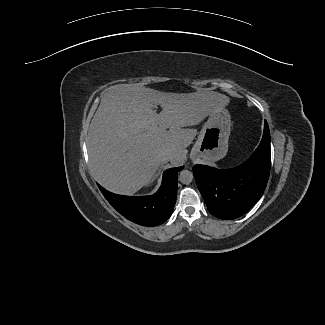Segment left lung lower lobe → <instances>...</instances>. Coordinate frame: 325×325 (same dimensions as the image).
I'll use <instances>...</instances> for the list:
<instances>
[{"label": "left lung lower lobe", "instance_id": "1", "mask_svg": "<svg viewBox=\"0 0 325 325\" xmlns=\"http://www.w3.org/2000/svg\"><path fill=\"white\" fill-rule=\"evenodd\" d=\"M270 131L265 121L262 140L251 157L232 169L194 165L197 187L210 213L232 220L247 212L262 196L270 174Z\"/></svg>", "mask_w": 325, "mask_h": 325}]
</instances>
